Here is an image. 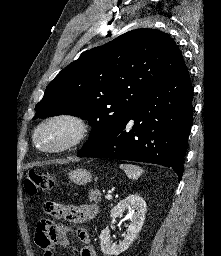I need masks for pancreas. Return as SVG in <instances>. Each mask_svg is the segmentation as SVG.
<instances>
[{
	"label": "pancreas",
	"mask_w": 221,
	"mask_h": 256,
	"mask_svg": "<svg viewBox=\"0 0 221 256\" xmlns=\"http://www.w3.org/2000/svg\"><path fill=\"white\" fill-rule=\"evenodd\" d=\"M101 193L99 190H91L89 193V200L90 201H94L95 203H98L99 201H101Z\"/></svg>",
	"instance_id": "obj_1"
}]
</instances>
